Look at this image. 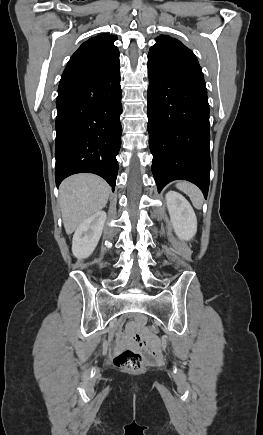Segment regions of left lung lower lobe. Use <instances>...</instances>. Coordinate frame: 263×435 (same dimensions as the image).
Listing matches in <instances>:
<instances>
[{"instance_id": "obj_1", "label": "left lung lower lobe", "mask_w": 263, "mask_h": 435, "mask_svg": "<svg viewBox=\"0 0 263 435\" xmlns=\"http://www.w3.org/2000/svg\"><path fill=\"white\" fill-rule=\"evenodd\" d=\"M149 146L158 192L173 180L196 184L207 197L209 104L205 84L166 74L148 63Z\"/></svg>"}]
</instances>
